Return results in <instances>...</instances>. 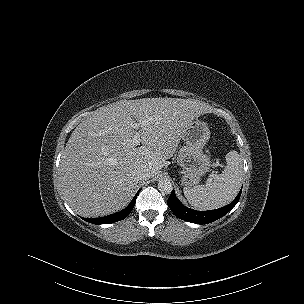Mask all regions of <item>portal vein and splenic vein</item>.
<instances>
[{
	"instance_id": "18ae733b",
	"label": "portal vein and splenic vein",
	"mask_w": 304,
	"mask_h": 304,
	"mask_svg": "<svg viewBox=\"0 0 304 304\" xmlns=\"http://www.w3.org/2000/svg\"><path fill=\"white\" fill-rule=\"evenodd\" d=\"M141 124L139 123H135L134 124V127L136 128V130H138V128L140 127ZM141 142V139H140V135L139 133L136 131L135 135L133 136V140H132V143L133 145H139Z\"/></svg>"
}]
</instances>
